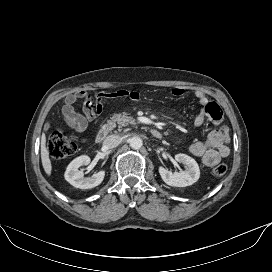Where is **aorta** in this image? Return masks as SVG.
Segmentation results:
<instances>
[{
    "label": "aorta",
    "instance_id": "aorta-1",
    "mask_svg": "<svg viewBox=\"0 0 272 272\" xmlns=\"http://www.w3.org/2000/svg\"><path fill=\"white\" fill-rule=\"evenodd\" d=\"M129 145L131 148L138 150L142 147L143 141L140 137L134 136L129 140Z\"/></svg>",
    "mask_w": 272,
    "mask_h": 272
}]
</instances>
